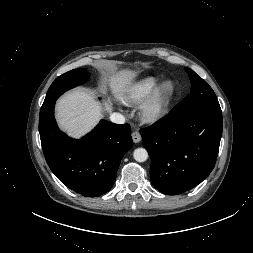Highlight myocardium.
I'll return each mask as SVG.
<instances>
[{
  "mask_svg": "<svg viewBox=\"0 0 253 253\" xmlns=\"http://www.w3.org/2000/svg\"><path fill=\"white\" fill-rule=\"evenodd\" d=\"M174 94L175 85L173 81L164 80L160 83L141 107L142 120L146 123H155L160 120L167 112Z\"/></svg>",
  "mask_w": 253,
  "mask_h": 253,
  "instance_id": "f54148a6",
  "label": "myocardium"
}]
</instances>
